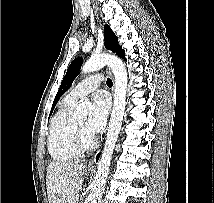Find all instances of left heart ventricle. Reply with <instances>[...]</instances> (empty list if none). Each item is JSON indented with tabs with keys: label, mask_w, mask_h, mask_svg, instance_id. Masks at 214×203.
<instances>
[{
	"label": "left heart ventricle",
	"mask_w": 214,
	"mask_h": 203,
	"mask_svg": "<svg viewBox=\"0 0 214 203\" xmlns=\"http://www.w3.org/2000/svg\"><path fill=\"white\" fill-rule=\"evenodd\" d=\"M76 125H78V126L81 127V128L86 129L85 120H81V121L77 122Z\"/></svg>",
	"instance_id": "left-heart-ventricle-1"
}]
</instances>
